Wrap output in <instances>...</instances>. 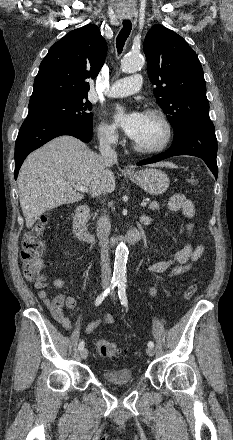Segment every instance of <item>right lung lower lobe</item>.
<instances>
[{"instance_id": "1", "label": "right lung lower lobe", "mask_w": 233, "mask_h": 440, "mask_svg": "<svg viewBox=\"0 0 233 440\" xmlns=\"http://www.w3.org/2000/svg\"><path fill=\"white\" fill-rule=\"evenodd\" d=\"M61 135H71L86 143L92 138V133L72 122L49 117H27L20 128L15 144V179L29 153Z\"/></svg>"}]
</instances>
